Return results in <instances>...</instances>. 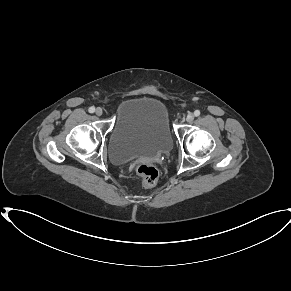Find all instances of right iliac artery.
Masks as SVG:
<instances>
[{"instance_id":"right-iliac-artery-1","label":"right iliac artery","mask_w":291,"mask_h":291,"mask_svg":"<svg viewBox=\"0 0 291 291\" xmlns=\"http://www.w3.org/2000/svg\"><path fill=\"white\" fill-rule=\"evenodd\" d=\"M89 112H90V113H93V112H95V107H93V106H92V107H90V108H89Z\"/></svg>"}]
</instances>
